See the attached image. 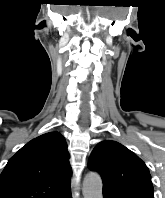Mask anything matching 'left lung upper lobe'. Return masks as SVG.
<instances>
[{
  "label": "left lung upper lobe",
  "instance_id": "1",
  "mask_svg": "<svg viewBox=\"0 0 165 198\" xmlns=\"http://www.w3.org/2000/svg\"><path fill=\"white\" fill-rule=\"evenodd\" d=\"M88 166L101 175L104 187L125 198H154L147 166L118 142H100L92 151Z\"/></svg>",
  "mask_w": 165,
  "mask_h": 198
}]
</instances>
